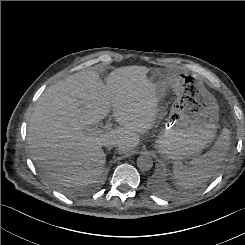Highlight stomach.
Returning <instances> with one entry per match:
<instances>
[{
    "label": "stomach",
    "mask_w": 245,
    "mask_h": 245,
    "mask_svg": "<svg viewBox=\"0 0 245 245\" xmlns=\"http://www.w3.org/2000/svg\"><path fill=\"white\" fill-rule=\"evenodd\" d=\"M160 81L161 96L171 87L177 97L170 115L155 141V148L164 158L175 163L194 158L215 139L219 127V105L202 81L187 72L172 74L155 70ZM161 113L158 119H162Z\"/></svg>",
    "instance_id": "0dacf381"
}]
</instances>
